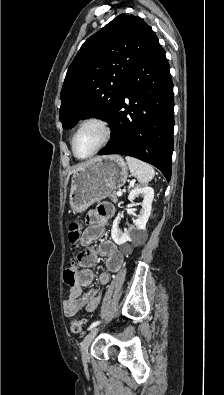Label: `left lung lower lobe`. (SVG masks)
<instances>
[{"label":"left lung lower lobe","mask_w":224,"mask_h":395,"mask_svg":"<svg viewBox=\"0 0 224 395\" xmlns=\"http://www.w3.org/2000/svg\"><path fill=\"white\" fill-rule=\"evenodd\" d=\"M169 70L165 51L157 41L129 76L108 121L112 139L99 153L138 158L157 167L167 181L171 178L174 128Z\"/></svg>","instance_id":"0a47b994"}]
</instances>
